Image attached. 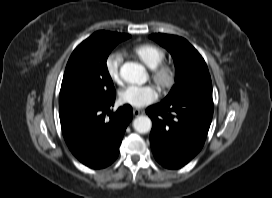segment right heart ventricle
<instances>
[{
	"mask_svg": "<svg viewBox=\"0 0 272 198\" xmlns=\"http://www.w3.org/2000/svg\"><path fill=\"white\" fill-rule=\"evenodd\" d=\"M130 52L151 69L163 62L165 58V51L161 47L151 43L135 45L131 48Z\"/></svg>",
	"mask_w": 272,
	"mask_h": 198,
	"instance_id": "1",
	"label": "right heart ventricle"
}]
</instances>
